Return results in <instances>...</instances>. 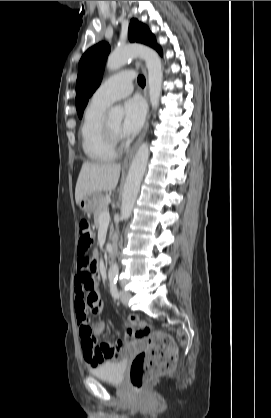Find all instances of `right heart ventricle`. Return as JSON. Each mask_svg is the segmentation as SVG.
Wrapping results in <instances>:
<instances>
[{"instance_id":"1","label":"right heart ventricle","mask_w":271,"mask_h":418,"mask_svg":"<svg viewBox=\"0 0 271 418\" xmlns=\"http://www.w3.org/2000/svg\"><path fill=\"white\" fill-rule=\"evenodd\" d=\"M106 105L91 102L81 124V141L85 155L94 162H107L116 158V150L108 144L103 132Z\"/></svg>"}]
</instances>
